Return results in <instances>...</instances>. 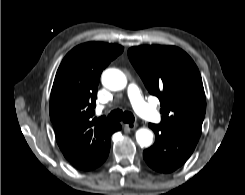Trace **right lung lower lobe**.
<instances>
[{"mask_svg": "<svg viewBox=\"0 0 245 195\" xmlns=\"http://www.w3.org/2000/svg\"><path fill=\"white\" fill-rule=\"evenodd\" d=\"M121 125L116 123L114 127L110 130V132L104 134L99 141V159H98V166H100L107 158L110 150V136L113 132L120 130Z\"/></svg>", "mask_w": 245, "mask_h": 195, "instance_id": "98d812e1", "label": "right lung lower lobe"}]
</instances>
